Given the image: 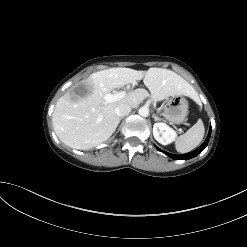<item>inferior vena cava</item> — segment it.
<instances>
[{"label":"inferior vena cava","instance_id":"1","mask_svg":"<svg viewBox=\"0 0 247 247\" xmlns=\"http://www.w3.org/2000/svg\"><path fill=\"white\" fill-rule=\"evenodd\" d=\"M130 111H131V106L126 103L119 104L115 109V113L119 117H124L128 115Z\"/></svg>","mask_w":247,"mask_h":247}]
</instances>
